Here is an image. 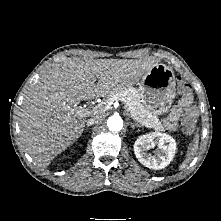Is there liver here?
I'll list each match as a JSON object with an SVG mask.
<instances>
[{"mask_svg":"<svg viewBox=\"0 0 221 221\" xmlns=\"http://www.w3.org/2000/svg\"><path fill=\"white\" fill-rule=\"evenodd\" d=\"M157 63L139 59L71 58L45 72L25 95L20 136L36 164L48 166L84 131L82 100L106 97L135 85Z\"/></svg>","mask_w":221,"mask_h":221,"instance_id":"obj_1","label":"liver"}]
</instances>
